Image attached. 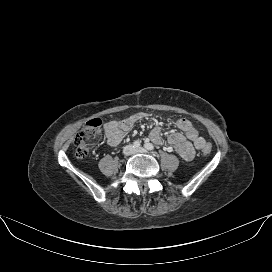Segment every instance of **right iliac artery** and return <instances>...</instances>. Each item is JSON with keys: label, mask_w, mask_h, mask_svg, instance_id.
<instances>
[{"label": "right iliac artery", "mask_w": 272, "mask_h": 272, "mask_svg": "<svg viewBox=\"0 0 272 272\" xmlns=\"http://www.w3.org/2000/svg\"><path fill=\"white\" fill-rule=\"evenodd\" d=\"M133 145H134V147L138 148V147H140V142L139 141H135L133 143Z\"/></svg>", "instance_id": "1"}]
</instances>
